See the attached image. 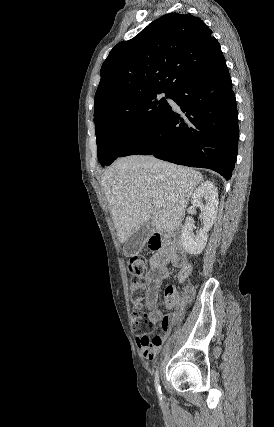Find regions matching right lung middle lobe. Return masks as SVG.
Segmentation results:
<instances>
[{
  "label": "right lung middle lobe",
  "mask_w": 274,
  "mask_h": 427,
  "mask_svg": "<svg viewBox=\"0 0 274 427\" xmlns=\"http://www.w3.org/2000/svg\"><path fill=\"white\" fill-rule=\"evenodd\" d=\"M158 94L129 97L94 117L97 155L102 166L110 165L123 150L146 136L162 120L170 106ZM171 95L167 93L166 97Z\"/></svg>",
  "instance_id": "1"
}]
</instances>
